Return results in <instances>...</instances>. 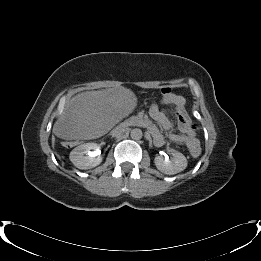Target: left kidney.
Returning <instances> with one entry per match:
<instances>
[{
    "mask_svg": "<svg viewBox=\"0 0 261 261\" xmlns=\"http://www.w3.org/2000/svg\"><path fill=\"white\" fill-rule=\"evenodd\" d=\"M169 152L172 154V158H165L162 155L156 156L154 163L157 169L165 174L173 175L182 170L187 166L186 157L179 151L170 149Z\"/></svg>",
    "mask_w": 261,
    "mask_h": 261,
    "instance_id": "5707ae66",
    "label": "left kidney"
}]
</instances>
